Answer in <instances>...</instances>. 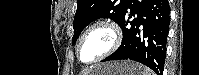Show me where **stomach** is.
I'll return each instance as SVG.
<instances>
[{"label": "stomach", "mask_w": 199, "mask_h": 75, "mask_svg": "<svg viewBox=\"0 0 199 75\" xmlns=\"http://www.w3.org/2000/svg\"><path fill=\"white\" fill-rule=\"evenodd\" d=\"M143 66L132 61L97 64L88 75H142Z\"/></svg>", "instance_id": "obj_1"}]
</instances>
